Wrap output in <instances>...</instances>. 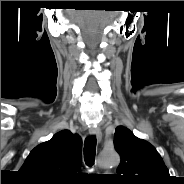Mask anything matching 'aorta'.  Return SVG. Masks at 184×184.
I'll use <instances>...</instances> for the list:
<instances>
[{
  "instance_id": "aorta-1",
  "label": "aorta",
  "mask_w": 184,
  "mask_h": 184,
  "mask_svg": "<svg viewBox=\"0 0 184 184\" xmlns=\"http://www.w3.org/2000/svg\"><path fill=\"white\" fill-rule=\"evenodd\" d=\"M120 157L116 151H103L98 159V164L101 167H115L119 164Z\"/></svg>"
}]
</instances>
